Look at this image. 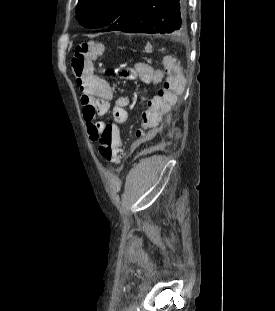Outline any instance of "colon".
Returning <instances> with one entry per match:
<instances>
[{
    "mask_svg": "<svg viewBox=\"0 0 275 311\" xmlns=\"http://www.w3.org/2000/svg\"><path fill=\"white\" fill-rule=\"evenodd\" d=\"M101 53V46L94 41H86L78 44L71 60L75 76L81 77L90 72L91 61L99 57ZM118 74L122 76L126 75L121 71H118ZM136 132H138V129ZM93 140L98 142L99 154L104 162L111 164L120 162L122 150L120 148L119 138L111 126L102 129L93 137Z\"/></svg>",
    "mask_w": 275,
    "mask_h": 311,
    "instance_id": "obj_1",
    "label": "colon"
}]
</instances>
